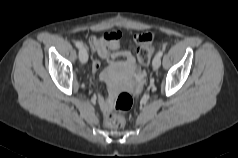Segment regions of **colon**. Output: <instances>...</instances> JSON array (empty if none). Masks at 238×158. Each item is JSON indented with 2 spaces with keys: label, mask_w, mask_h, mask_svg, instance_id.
I'll list each match as a JSON object with an SVG mask.
<instances>
[{
  "label": "colon",
  "mask_w": 238,
  "mask_h": 158,
  "mask_svg": "<svg viewBox=\"0 0 238 158\" xmlns=\"http://www.w3.org/2000/svg\"><path fill=\"white\" fill-rule=\"evenodd\" d=\"M142 39H150L149 36H143ZM153 48L148 45H144L137 50L138 62L146 66L151 60ZM133 104L132 96L125 91H121L116 96L114 102V109L109 112L105 118V125L112 129L121 128L126 123V113L130 110Z\"/></svg>",
  "instance_id": "obj_1"
}]
</instances>
